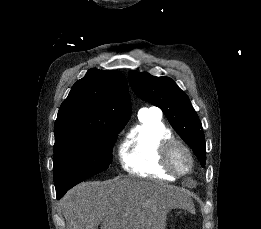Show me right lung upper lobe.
Returning <instances> with one entry per match:
<instances>
[{"instance_id": "cb5924a9", "label": "right lung upper lobe", "mask_w": 261, "mask_h": 229, "mask_svg": "<svg viewBox=\"0 0 261 229\" xmlns=\"http://www.w3.org/2000/svg\"><path fill=\"white\" fill-rule=\"evenodd\" d=\"M131 114L128 85L119 71L90 69L72 87L55 121V145L97 127L126 124Z\"/></svg>"}]
</instances>
